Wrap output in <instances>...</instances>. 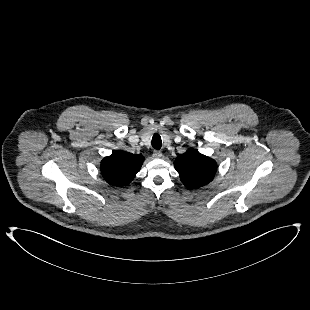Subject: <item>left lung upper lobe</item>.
I'll return each mask as SVG.
<instances>
[{
  "mask_svg": "<svg viewBox=\"0 0 310 310\" xmlns=\"http://www.w3.org/2000/svg\"><path fill=\"white\" fill-rule=\"evenodd\" d=\"M174 166L182 183L189 189L199 188L211 182L217 170L215 160L200 154L195 149H189L179 155L175 159Z\"/></svg>",
  "mask_w": 310,
  "mask_h": 310,
  "instance_id": "5c2ea615",
  "label": "left lung upper lobe"
}]
</instances>
